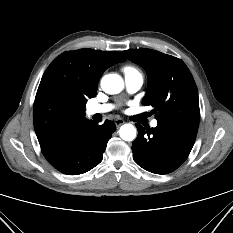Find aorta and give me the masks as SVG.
<instances>
[{"mask_svg":"<svg viewBox=\"0 0 233 233\" xmlns=\"http://www.w3.org/2000/svg\"><path fill=\"white\" fill-rule=\"evenodd\" d=\"M101 87L108 94H117L123 90L124 81L117 74H108L102 78ZM119 134L123 140L133 141L136 138V129L132 124H124L120 127Z\"/></svg>","mask_w":233,"mask_h":233,"instance_id":"762f6f07","label":"aorta"}]
</instances>
